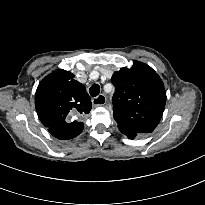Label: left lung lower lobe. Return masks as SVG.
<instances>
[{"mask_svg": "<svg viewBox=\"0 0 205 205\" xmlns=\"http://www.w3.org/2000/svg\"><path fill=\"white\" fill-rule=\"evenodd\" d=\"M118 128L121 131V133L126 135L129 139H134L137 135H139V133L127 130L125 128H122V127H118Z\"/></svg>", "mask_w": 205, "mask_h": 205, "instance_id": "0a47b994", "label": "left lung lower lobe"}]
</instances>
